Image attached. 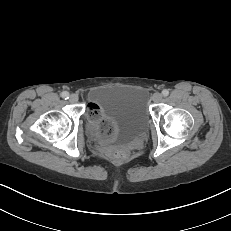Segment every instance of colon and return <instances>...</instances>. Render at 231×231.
Returning <instances> with one entry per match:
<instances>
[{
    "label": "colon",
    "mask_w": 231,
    "mask_h": 231,
    "mask_svg": "<svg viewBox=\"0 0 231 231\" xmlns=\"http://www.w3.org/2000/svg\"><path fill=\"white\" fill-rule=\"evenodd\" d=\"M98 113V108L90 105L89 107V115H95ZM109 155L114 158L115 160L122 161L126 158L127 152L125 148L120 146H111L108 149Z\"/></svg>",
    "instance_id": "5ec220e1"
}]
</instances>
